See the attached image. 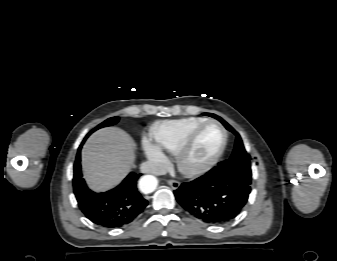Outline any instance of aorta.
Segmentation results:
<instances>
[{
    "instance_id": "obj_1",
    "label": "aorta",
    "mask_w": 337,
    "mask_h": 261,
    "mask_svg": "<svg viewBox=\"0 0 337 261\" xmlns=\"http://www.w3.org/2000/svg\"><path fill=\"white\" fill-rule=\"evenodd\" d=\"M158 185L157 179L152 175L143 176L139 181V188L141 192L148 194L155 191Z\"/></svg>"
}]
</instances>
